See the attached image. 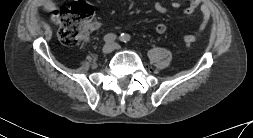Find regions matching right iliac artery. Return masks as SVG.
Masks as SVG:
<instances>
[{"label": "right iliac artery", "instance_id": "right-iliac-artery-1", "mask_svg": "<svg viewBox=\"0 0 253 138\" xmlns=\"http://www.w3.org/2000/svg\"><path fill=\"white\" fill-rule=\"evenodd\" d=\"M117 38V36L113 33H109L107 35L104 36L103 40L106 43H112L115 41V39Z\"/></svg>", "mask_w": 253, "mask_h": 138}]
</instances>
